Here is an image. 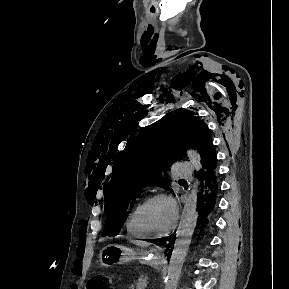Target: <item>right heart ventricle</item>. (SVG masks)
Masks as SVG:
<instances>
[{
	"label": "right heart ventricle",
	"instance_id": "1",
	"mask_svg": "<svg viewBox=\"0 0 289 289\" xmlns=\"http://www.w3.org/2000/svg\"><path fill=\"white\" fill-rule=\"evenodd\" d=\"M141 204V203H140ZM138 204L128 215L126 222H125V227L126 230L128 232V234H130L133 237L136 238H147L148 236H146L137 226L136 221H135V215H136V211L139 207Z\"/></svg>",
	"mask_w": 289,
	"mask_h": 289
}]
</instances>
